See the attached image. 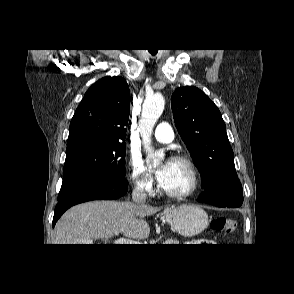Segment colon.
I'll list each match as a JSON object with an SVG mask.
<instances>
[{"label":"colon","mask_w":294,"mask_h":294,"mask_svg":"<svg viewBox=\"0 0 294 294\" xmlns=\"http://www.w3.org/2000/svg\"><path fill=\"white\" fill-rule=\"evenodd\" d=\"M211 227L217 232L231 234L236 230L237 222L233 219L218 217L211 221Z\"/></svg>","instance_id":"5ec220e1"}]
</instances>
